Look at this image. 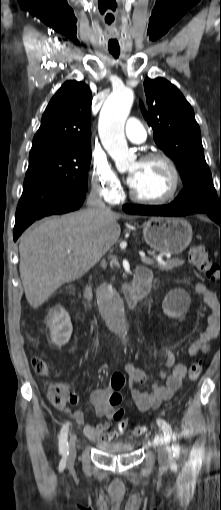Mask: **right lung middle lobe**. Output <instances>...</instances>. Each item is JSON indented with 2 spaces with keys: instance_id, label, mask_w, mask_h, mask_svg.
<instances>
[{
  "instance_id": "obj_1",
  "label": "right lung middle lobe",
  "mask_w": 221,
  "mask_h": 510,
  "mask_svg": "<svg viewBox=\"0 0 221 510\" xmlns=\"http://www.w3.org/2000/svg\"><path fill=\"white\" fill-rule=\"evenodd\" d=\"M91 156V145L29 156L24 189L16 212L31 216L85 193Z\"/></svg>"
}]
</instances>
